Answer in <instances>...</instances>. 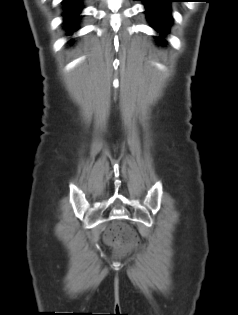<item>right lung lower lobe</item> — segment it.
Instances as JSON below:
<instances>
[{
  "mask_svg": "<svg viewBox=\"0 0 238 315\" xmlns=\"http://www.w3.org/2000/svg\"><path fill=\"white\" fill-rule=\"evenodd\" d=\"M82 9V0L62 1L63 26L67 36L72 35L79 29V23L82 18V16L80 15ZM69 43L72 44V40L69 41Z\"/></svg>",
  "mask_w": 238,
  "mask_h": 315,
  "instance_id": "obj_1",
  "label": "right lung lower lobe"
}]
</instances>
